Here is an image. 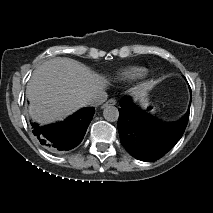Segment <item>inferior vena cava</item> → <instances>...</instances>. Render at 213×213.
Returning <instances> with one entry per match:
<instances>
[{
    "label": "inferior vena cava",
    "instance_id": "1",
    "mask_svg": "<svg viewBox=\"0 0 213 213\" xmlns=\"http://www.w3.org/2000/svg\"><path fill=\"white\" fill-rule=\"evenodd\" d=\"M108 98V94L105 91H99L85 100V105L97 107L104 103Z\"/></svg>",
    "mask_w": 213,
    "mask_h": 213
}]
</instances>
